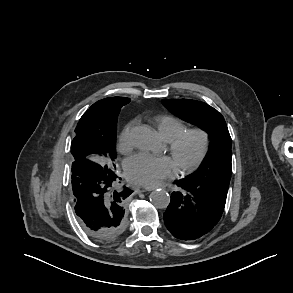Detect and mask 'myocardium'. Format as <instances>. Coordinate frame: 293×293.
Instances as JSON below:
<instances>
[{
  "label": "myocardium",
  "mask_w": 293,
  "mask_h": 293,
  "mask_svg": "<svg viewBox=\"0 0 293 293\" xmlns=\"http://www.w3.org/2000/svg\"><path fill=\"white\" fill-rule=\"evenodd\" d=\"M191 137H197L199 139V149L190 162L177 168V172L181 174H188L196 170L205 159L210 148V134L203 128H190L184 130L174 139L168 141V149L170 154H176L183 144Z\"/></svg>",
  "instance_id": "obj_1"
}]
</instances>
